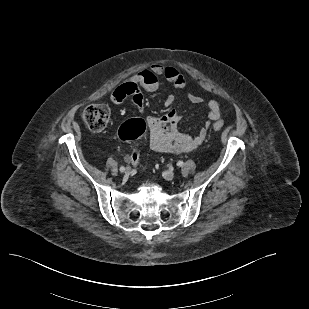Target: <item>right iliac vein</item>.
<instances>
[{
	"label": "right iliac vein",
	"mask_w": 309,
	"mask_h": 309,
	"mask_svg": "<svg viewBox=\"0 0 309 309\" xmlns=\"http://www.w3.org/2000/svg\"><path fill=\"white\" fill-rule=\"evenodd\" d=\"M130 172H131V169L129 167H127L125 169V176H129L130 175Z\"/></svg>",
	"instance_id": "obj_1"
}]
</instances>
